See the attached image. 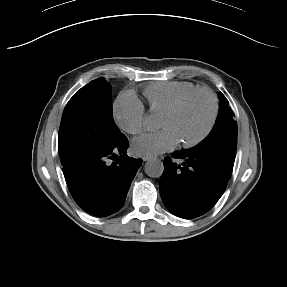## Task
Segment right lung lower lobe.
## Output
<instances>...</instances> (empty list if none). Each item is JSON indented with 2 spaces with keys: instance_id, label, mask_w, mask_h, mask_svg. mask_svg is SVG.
Masks as SVG:
<instances>
[{
  "instance_id": "98d812e1",
  "label": "right lung lower lobe",
  "mask_w": 287,
  "mask_h": 287,
  "mask_svg": "<svg viewBox=\"0 0 287 287\" xmlns=\"http://www.w3.org/2000/svg\"><path fill=\"white\" fill-rule=\"evenodd\" d=\"M127 138L96 153L81 156L64 166V176L76 203L95 216H108L124 204L142 159L126 155ZM115 161L112 163V161Z\"/></svg>"
}]
</instances>
